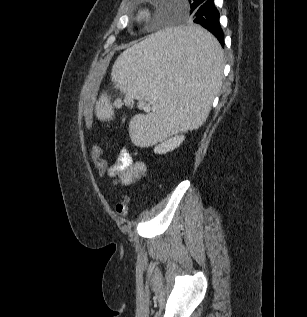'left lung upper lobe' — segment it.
<instances>
[{
    "label": "left lung upper lobe",
    "mask_w": 307,
    "mask_h": 317,
    "mask_svg": "<svg viewBox=\"0 0 307 317\" xmlns=\"http://www.w3.org/2000/svg\"><path fill=\"white\" fill-rule=\"evenodd\" d=\"M189 1V4H190V8H191V11L190 13L194 12V9H195V4L198 0H188Z\"/></svg>",
    "instance_id": "left-lung-upper-lobe-1"
}]
</instances>
